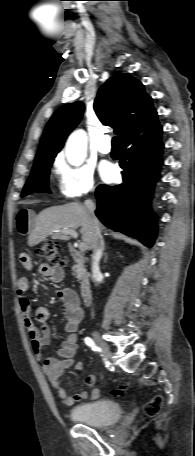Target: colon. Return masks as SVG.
Listing matches in <instances>:
<instances>
[{"label":"colon","instance_id":"obj_1","mask_svg":"<svg viewBox=\"0 0 195 456\" xmlns=\"http://www.w3.org/2000/svg\"><path fill=\"white\" fill-rule=\"evenodd\" d=\"M36 253L44 259L47 264L52 266H61L63 264V259L59 252L58 244L53 241H48L44 243L41 247L36 250ZM125 386H121L118 390L114 391L116 395H122L124 392ZM162 397L154 396L144 405V412L148 416L157 415L162 407Z\"/></svg>","mask_w":195,"mask_h":456}]
</instances>
